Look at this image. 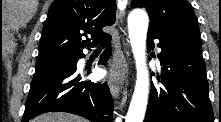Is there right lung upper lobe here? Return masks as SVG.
<instances>
[{
  "mask_svg": "<svg viewBox=\"0 0 221 122\" xmlns=\"http://www.w3.org/2000/svg\"><path fill=\"white\" fill-rule=\"evenodd\" d=\"M115 8V0H54L43 26L37 60L78 56L84 48H92L108 36L102 28L114 24Z\"/></svg>",
  "mask_w": 221,
  "mask_h": 122,
  "instance_id": "1",
  "label": "right lung upper lobe"
}]
</instances>
